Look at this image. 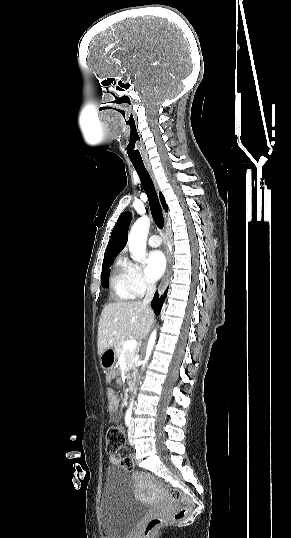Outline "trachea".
Wrapping results in <instances>:
<instances>
[{
  "instance_id": "obj_1",
  "label": "trachea",
  "mask_w": 291,
  "mask_h": 538,
  "mask_svg": "<svg viewBox=\"0 0 291 538\" xmlns=\"http://www.w3.org/2000/svg\"><path fill=\"white\" fill-rule=\"evenodd\" d=\"M133 166L140 178L141 184L148 197L151 213L155 221V224L157 225L159 229H163L164 218H163L162 209H161L152 179L147 169L145 168L144 164L133 163Z\"/></svg>"
}]
</instances>
